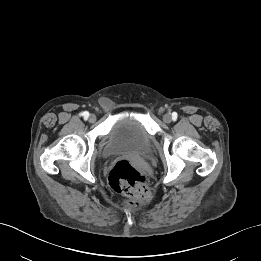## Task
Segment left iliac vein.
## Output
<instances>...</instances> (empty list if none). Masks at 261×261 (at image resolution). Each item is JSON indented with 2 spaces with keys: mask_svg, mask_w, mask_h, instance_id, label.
Segmentation results:
<instances>
[{
  "mask_svg": "<svg viewBox=\"0 0 261 261\" xmlns=\"http://www.w3.org/2000/svg\"><path fill=\"white\" fill-rule=\"evenodd\" d=\"M163 121H164L165 123H170V122L172 121V116H171V114H169V113L165 114V115L163 116Z\"/></svg>",
  "mask_w": 261,
  "mask_h": 261,
  "instance_id": "obj_1",
  "label": "left iliac vein"
}]
</instances>
